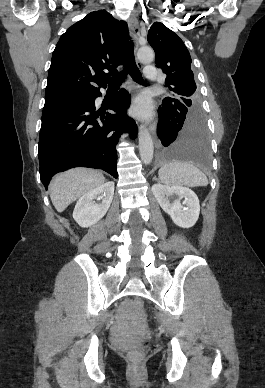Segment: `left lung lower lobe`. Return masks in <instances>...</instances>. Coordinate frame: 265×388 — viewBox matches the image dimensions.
Returning <instances> with one entry per match:
<instances>
[{"label":"left lung lower lobe","mask_w":265,"mask_h":388,"mask_svg":"<svg viewBox=\"0 0 265 388\" xmlns=\"http://www.w3.org/2000/svg\"><path fill=\"white\" fill-rule=\"evenodd\" d=\"M158 113L157 135L162 144L159 157L208 165L209 138L202 111L189 109L176 99L164 98Z\"/></svg>","instance_id":"left-lung-lower-lobe-1"}]
</instances>
